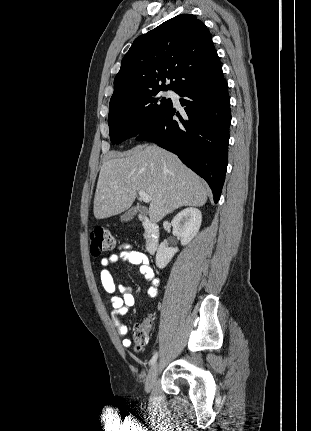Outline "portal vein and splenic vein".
Returning a JSON list of instances; mask_svg holds the SVG:
<instances>
[{
	"label": "portal vein and splenic vein",
	"instance_id": "18ae733b",
	"mask_svg": "<svg viewBox=\"0 0 311 431\" xmlns=\"http://www.w3.org/2000/svg\"><path fill=\"white\" fill-rule=\"evenodd\" d=\"M141 200H143V202H145V204H149V202H151V196H149V194H146V192H144V190H139L138 192Z\"/></svg>",
	"mask_w": 311,
	"mask_h": 431
}]
</instances>
